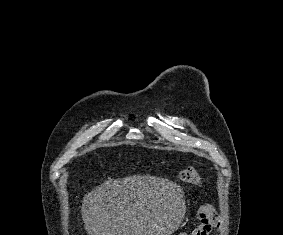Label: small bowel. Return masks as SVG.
<instances>
[{
	"label": "small bowel",
	"mask_w": 283,
	"mask_h": 235,
	"mask_svg": "<svg viewBox=\"0 0 283 235\" xmlns=\"http://www.w3.org/2000/svg\"><path fill=\"white\" fill-rule=\"evenodd\" d=\"M196 218L198 220V226L192 231L190 235H210L218 222L217 213L209 204L200 206L196 213Z\"/></svg>",
	"instance_id": "small-bowel-1"
}]
</instances>
